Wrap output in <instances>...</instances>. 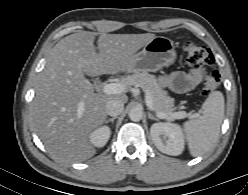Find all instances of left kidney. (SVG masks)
Here are the masks:
<instances>
[{
    "mask_svg": "<svg viewBox=\"0 0 248 195\" xmlns=\"http://www.w3.org/2000/svg\"><path fill=\"white\" fill-rule=\"evenodd\" d=\"M153 143L168 155H180L185 146L184 134L178 124L169 122L154 123L150 128Z\"/></svg>",
    "mask_w": 248,
    "mask_h": 195,
    "instance_id": "obj_1",
    "label": "left kidney"
}]
</instances>
